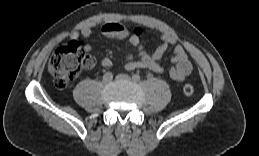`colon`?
I'll use <instances>...</instances> for the list:
<instances>
[{
	"label": "colon",
	"instance_id": "5ec220e1",
	"mask_svg": "<svg viewBox=\"0 0 259 156\" xmlns=\"http://www.w3.org/2000/svg\"><path fill=\"white\" fill-rule=\"evenodd\" d=\"M134 34L139 36L140 29H135ZM93 60L86 55L83 47L76 41H71L58 48L51 56L48 70L58 88H66L86 68L91 67ZM185 95L194 93V85L191 82L184 83L182 87Z\"/></svg>",
	"mask_w": 259,
	"mask_h": 156
}]
</instances>
